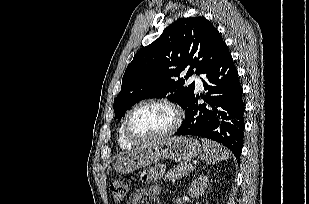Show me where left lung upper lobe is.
<instances>
[{
	"label": "left lung upper lobe",
	"mask_w": 309,
	"mask_h": 204,
	"mask_svg": "<svg viewBox=\"0 0 309 204\" xmlns=\"http://www.w3.org/2000/svg\"><path fill=\"white\" fill-rule=\"evenodd\" d=\"M227 47L217 29L204 17L180 18L162 35L136 53L127 66L122 87L114 100L115 118L121 119L145 98L167 97L186 109L194 96V82L184 87L193 73L203 74ZM177 78H179L177 80Z\"/></svg>",
	"instance_id": "left-lung-upper-lobe-1"
}]
</instances>
